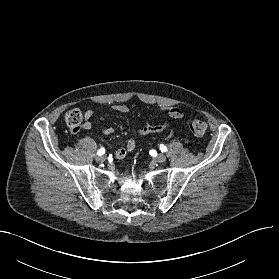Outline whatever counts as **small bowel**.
I'll use <instances>...</instances> for the list:
<instances>
[{"instance_id": "obj_1", "label": "small bowel", "mask_w": 279, "mask_h": 279, "mask_svg": "<svg viewBox=\"0 0 279 279\" xmlns=\"http://www.w3.org/2000/svg\"><path fill=\"white\" fill-rule=\"evenodd\" d=\"M114 110L118 113L126 114L129 112V108L126 105H116L114 107ZM159 111L162 113H165L169 115L171 118L174 119H182L184 117V112L183 110L178 107V106H161L159 108ZM93 116V111L92 110H87L84 113V123H83V128L85 130H90L92 128V122L91 118ZM170 126L169 122H165L163 124H151L148 123L142 128L138 129L136 134L140 137H145L150 134H155V133H160L168 129ZM102 132L104 135H111L114 130L110 126H106L102 129ZM137 146V142L135 139L131 138L127 141L126 145L123 147L118 148L114 152V157L116 159H123L127 153L132 152Z\"/></svg>"}]
</instances>
